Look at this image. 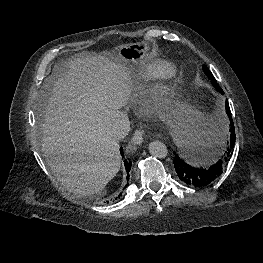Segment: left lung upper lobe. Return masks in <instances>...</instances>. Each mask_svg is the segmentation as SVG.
Masks as SVG:
<instances>
[{"label":"left lung upper lobe","mask_w":263,"mask_h":263,"mask_svg":"<svg viewBox=\"0 0 263 263\" xmlns=\"http://www.w3.org/2000/svg\"><path fill=\"white\" fill-rule=\"evenodd\" d=\"M203 71L205 75L208 77V79L211 80L212 85L216 88L217 91H221L222 89L218 85L216 79L214 78L213 74L209 71L206 65H203Z\"/></svg>","instance_id":"5c2ea615"}]
</instances>
